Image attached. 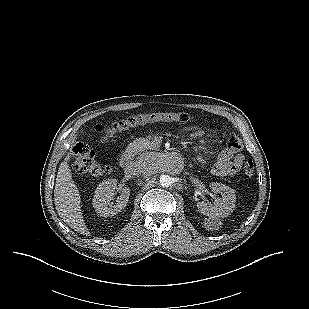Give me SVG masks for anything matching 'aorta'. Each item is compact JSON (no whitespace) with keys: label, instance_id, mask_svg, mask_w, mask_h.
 Segmentation results:
<instances>
[{"label":"aorta","instance_id":"obj_1","mask_svg":"<svg viewBox=\"0 0 309 309\" xmlns=\"http://www.w3.org/2000/svg\"><path fill=\"white\" fill-rule=\"evenodd\" d=\"M159 183L162 187H169L173 183L172 177L163 174L160 176Z\"/></svg>","mask_w":309,"mask_h":309}]
</instances>
